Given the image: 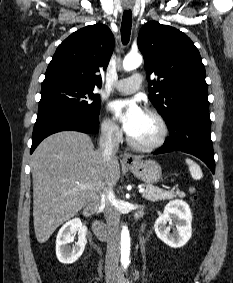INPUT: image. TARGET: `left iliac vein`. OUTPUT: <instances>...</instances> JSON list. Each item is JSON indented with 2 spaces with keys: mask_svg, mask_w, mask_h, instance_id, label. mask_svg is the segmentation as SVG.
Returning <instances> with one entry per match:
<instances>
[{
  "mask_svg": "<svg viewBox=\"0 0 233 283\" xmlns=\"http://www.w3.org/2000/svg\"><path fill=\"white\" fill-rule=\"evenodd\" d=\"M117 283H127L125 277L121 273L117 275Z\"/></svg>",
  "mask_w": 233,
  "mask_h": 283,
  "instance_id": "4c4485c4",
  "label": "left iliac vein"
}]
</instances>
